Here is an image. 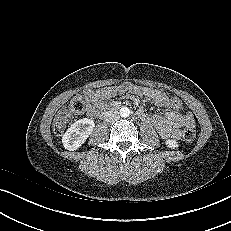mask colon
Instances as JSON below:
<instances>
[{
    "mask_svg": "<svg viewBox=\"0 0 231 231\" xmlns=\"http://www.w3.org/2000/svg\"><path fill=\"white\" fill-rule=\"evenodd\" d=\"M170 105L177 110L182 108V100L174 96L170 98ZM86 110V103L82 96H75L70 104L68 109L61 110L54 118L53 121V130L56 135H61L70 120L71 114H82ZM196 132L194 127L187 126L182 132V137L186 142H191L195 139Z\"/></svg>",
    "mask_w": 231,
    "mask_h": 231,
    "instance_id": "colon-1",
    "label": "colon"
}]
</instances>
